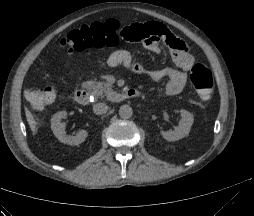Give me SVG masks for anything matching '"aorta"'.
Here are the masks:
<instances>
[{
    "mask_svg": "<svg viewBox=\"0 0 254 216\" xmlns=\"http://www.w3.org/2000/svg\"><path fill=\"white\" fill-rule=\"evenodd\" d=\"M133 115V109L129 105H122L119 108V116L123 119H129Z\"/></svg>",
    "mask_w": 254,
    "mask_h": 216,
    "instance_id": "762f6f07",
    "label": "aorta"
}]
</instances>
